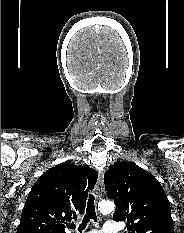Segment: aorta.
Instances as JSON below:
<instances>
[{"mask_svg":"<svg viewBox=\"0 0 184 233\" xmlns=\"http://www.w3.org/2000/svg\"><path fill=\"white\" fill-rule=\"evenodd\" d=\"M99 210L103 214L111 213L114 210V203L111 201H102L99 203Z\"/></svg>","mask_w":184,"mask_h":233,"instance_id":"762f6f07","label":"aorta"}]
</instances>
